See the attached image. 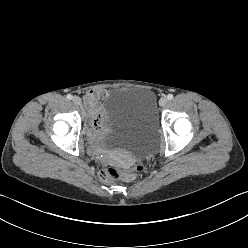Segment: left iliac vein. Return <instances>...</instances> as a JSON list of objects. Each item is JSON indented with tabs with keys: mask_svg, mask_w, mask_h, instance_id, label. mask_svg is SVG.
<instances>
[{
	"mask_svg": "<svg viewBox=\"0 0 248 248\" xmlns=\"http://www.w3.org/2000/svg\"><path fill=\"white\" fill-rule=\"evenodd\" d=\"M167 103H168V98H167V97L164 96V97H161V98H160V100H159V105H160L161 107L166 106Z\"/></svg>",
	"mask_w": 248,
	"mask_h": 248,
	"instance_id": "obj_1",
	"label": "left iliac vein"
}]
</instances>
